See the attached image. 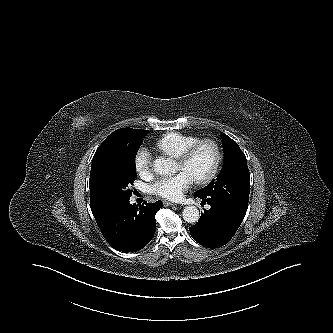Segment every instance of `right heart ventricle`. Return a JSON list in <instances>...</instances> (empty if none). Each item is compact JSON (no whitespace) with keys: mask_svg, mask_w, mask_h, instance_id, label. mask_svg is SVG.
<instances>
[{"mask_svg":"<svg viewBox=\"0 0 333 333\" xmlns=\"http://www.w3.org/2000/svg\"><path fill=\"white\" fill-rule=\"evenodd\" d=\"M198 140L199 138L196 136L170 132L159 138L154 147L156 150L177 159Z\"/></svg>","mask_w":333,"mask_h":333,"instance_id":"right-heart-ventricle-1","label":"right heart ventricle"}]
</instances>
